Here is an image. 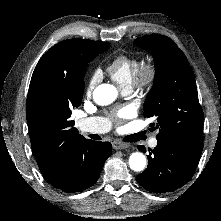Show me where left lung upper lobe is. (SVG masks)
I'll return each instance as SVG.
<instances>
[{
  "label": "left lung upper lobe",
  "instance_id": "5c2ea615",
  "mask_svg": "<svg viewBox=\"0 0 221 221\" xmlns=\"http://www.w3.org/2000/svg\"><path fill=\"white\" fill-rule=\"evenodd\" d=\"M137 46L151 50L155 61L154 86L144 103V117H153L157 140L202 141L203 111L199 104L192 68L170 38L151 34L135 40Z\"/></svg>",
  "mask_w": 221,
  "mask_h": 221
}]
</instances>
